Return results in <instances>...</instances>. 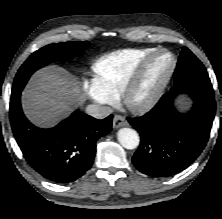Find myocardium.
Returning <instances> with one entry per match:
<instances>
[{"label": "myocardium", "instance_id": "myocardium-1", "mask_svg": "<svg viewBox=\"0 0 222 219\" xmlns=\"http://www.w3.org/2000/svg\"><path fill=\"white\" fill-rule=\"evenodd\" d=\"M167 54L170 56V65L158 84V86L149 94L144 97H139L138 93L141 90L148 71L156 58L159 56ZM177 59L176 56L167 49H156L151 54L143 59L140 65L137 67L134 74L128 80L121 92V100L124 105L131 111L135 113H144L152 109L158 101L163 96L165 90L167 89L173 74L176 70Z\"/></svg>", "mask_w": 222, "mask_h": 219}]
</instances>
